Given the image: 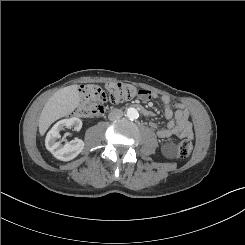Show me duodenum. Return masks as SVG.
Masks as SVG:
<instances>
[{"instance_id":"1","label":"duodenum","mask_w":245,"mask_h":245,"mask_svg":"<svg viewBox=\"0 0 245 245\" xmlns=\"http://www.w3.org/2000/svg\"><path fill=\"white\" fill-rule=\"evenodd\" d=\"M132 106L134 108H137L144 116H147V117L151 116V112L145 109L143 106L139 104H133Z\"/></svg>"}]
</instances>
